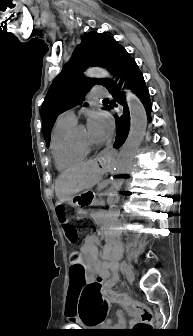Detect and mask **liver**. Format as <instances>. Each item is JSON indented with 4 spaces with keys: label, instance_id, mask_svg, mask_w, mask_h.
<instances>
[{
    "label": "liver",
    "instance_id": "6515ba94",
    "mask_svg": "<svg viewBox=\"0 0 193 336\" xmlns=\"http://www.w3.org/2000/svg\"><path fill=\"white\" fill-rule=\"evenodd\" d=\"M99 160L96 158L82 162L61 173L55 182L56 197L61 202H71L74 195L98 184L110 166L109 162L100 167Z\"/></svg>",
    "mask_w": 193,
    "mask_h": 336
}]
</instances>
